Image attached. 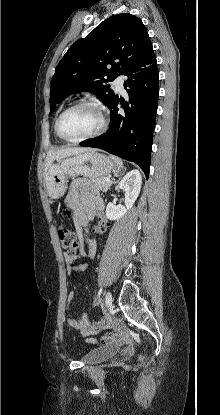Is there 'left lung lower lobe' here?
<instances>
[{
    "label": "left lung lower lobe",
    "mask_w": 220,
    "mask_h": 415,
    "mask_svg": "<svg viewBox=\"0 0 220 415\" xmlns=\"http://www.w3.org/2000/svg\"><path fill=\"white\" fill-rule=\"evenodd\" d=\"M122 75L128 77L124 82L128 98L115 95L107 105L111 111L108 131L97 138L82 141L80 145L100 148L135 162L148 178L159 94L155 55ZM119 103L123 108L121 111L117 107Z\"/></svg>",
    "instance_id": "left-lung-lower-lobe-1"
}]
</instances>
